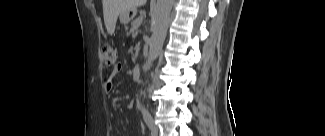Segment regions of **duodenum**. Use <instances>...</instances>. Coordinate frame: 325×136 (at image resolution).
Listing matches in <instances>:
<instances>
[{
  "mask_svg": "<svg viewBox=\"0 0 325 136\" xmlns=\"http://www.w3.org/2000/svg\"><path fill=\"white\" fill-rule=\"evenodd\" d=\"M141 73V66L140 65H135L132 69V75L134 78H138Z\"/></svg>",
  "mask_w": 325,
  "mask_h": 136,
  "instance_id": "obj_1",
  "label": "duodenum"
}]
</instances>
